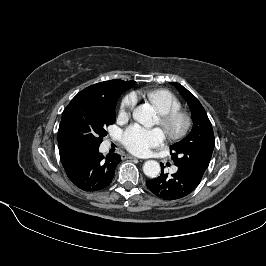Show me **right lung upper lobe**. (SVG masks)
I'll return each mask as SVG.
<instances>
[{
  "label": "right lung upper lobe",
  "instance_id": "1",
  "mask_svg": "<svg viewBox=\"0 0 266 266\" xmlns=\"http://www.w3.org/2000/svg\"><path fill=\"white\" fill-rule=\"evenodd\" d=\"M135 84L134 81H122L119 79L116 80H110L105 82H100L94 85H91L81 92H79L76 96H88L93 98H102V99H108L113 94H115L117 91L123 89V88H131ZM126 89V90H127ZM59 144V151L63 152L65 150H68L66 146H64L60 140L58 139Z\"/></svg>",
  "mask_w": 266,
  "mask_h": 266
}]
</instances>
